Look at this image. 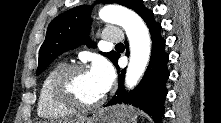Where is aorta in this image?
Here are the masks:
<instances>
[{
    "mask_svg": "<svg viewBox=\"0 0 221 123\" xmlns=\"http://www.w3.org/2000/svg\"><path fill=\"white\" fill-rule=\"evenodd\" d=\"M99 17L104 22L120 25L126 31L130 44V60L125 84L128 89H132L144 73L150 58L151 41L148 29L139 15L120 6L103 7Z\"/></svg>",
    "mask_w": 221,
    "mask_h": 123,
    "instance_id": "obj_1",
    "label": "aorta"
}]
</instances>
